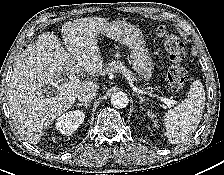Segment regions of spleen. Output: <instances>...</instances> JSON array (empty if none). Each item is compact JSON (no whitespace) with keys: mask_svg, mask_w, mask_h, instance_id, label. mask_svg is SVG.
I'll list each match as a JSON object with an SVG mask.
<instances>
[{"mask_svg":"<svg viewBox=\"0 0 224 175\" xmlns=\"http://www.w3.org/2000/svg\"><path fill=\"white\" fill-rule=\"evenodd\" d=\"M205 107V91L199 80L193 81L184 102L164 115L166 135L171 144L186 140L198 127Z\"/></svg>","mask_w":224,"mask_h":175,"instance_id":"3e777b00","label":"spleen"}]
</instances>
